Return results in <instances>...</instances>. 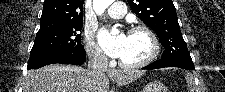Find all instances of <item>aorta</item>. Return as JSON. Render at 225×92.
<instances>
[{
  "instance_id": "762f6f07",
  "label": "aorta",
  "mask_w": 225,
  "mask_h": 92,
  "mask_svg": "<svg viewBox=\"0 0 225 92\" xmlns=\"http://www.w3.org/2000/svg\"><path fill=\"white\" fill-rule=\"evenodd\" d=\"M114 0H93V8L98 15H101Z\"/></svg>"
}]
</instances>
